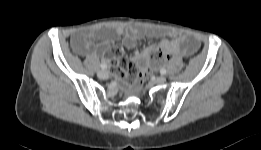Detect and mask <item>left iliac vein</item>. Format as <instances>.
Masks as SVG:
<instances>
[{
    "label": "left iliac vein",
    "instance_id": "left-iliac-vein-1",
    "mask_svg": "<svg viewBox=\"0 0 261 150\" xmlns=\"http://www.w3.org/2000/svg\"><path fill=\"white\" fill-rule=\"evenodd\" d=\"M154 82L156 84H164L166 82V78L164 76H159L154 80Z\"/></svg>",
    "mask_w": 261,
    "mask_h": 150
}]
</instances>
